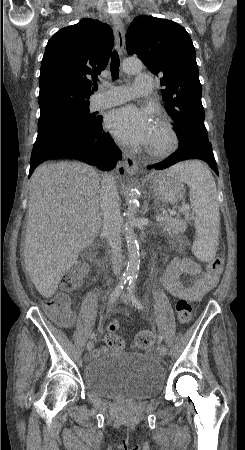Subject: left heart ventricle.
Masks as SVG:
<instances>
[{
    "instance_id": "1",
    "label": "left heart ventricle",
    "mask_w": 245,
    "mask_h": 450,
    "mask_svg": "<svg viewBox=\"0 0 245 450\" xmlns=\"http://www.w3.org/2000/svg\"><path fill=\"white\" fill-rule=\"evenodd\" d=\"M155 134H156V128H155V130H154L153 138H154Z\"/></svg>"
}]
</instances>
